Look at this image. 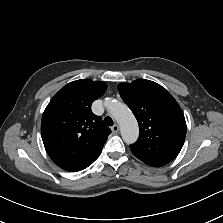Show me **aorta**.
Wrapping results in <instances>:
<instances>
[{
  "label": "aorta",
  "instance_id": "aorta-1",
  "mask_svg": "<svg viewBox=\"0 0 223 223\" xmlns=\"http://www.w3.org/2000/svg\"><path fill=\"white\" fill-rule=\"evenodd\" d=\"M105 104L111 116L121 128V136L126 144L133 143L138 138L139 127L131 110L124 103L110 98L105 99Z\"/></svg>",
  "mask_w": 223,
  "mask_h": 223
}]
</instances>
